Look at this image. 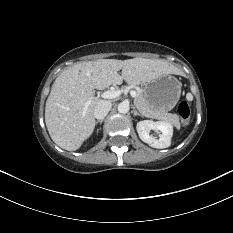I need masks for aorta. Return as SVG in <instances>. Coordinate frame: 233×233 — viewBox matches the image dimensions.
Masks as SVG:
<instances>
[{
    "mask_svg": "<svg viewBox=\"0 0 233 233\" xmlns=\"http://www.w3.org/2000/svg\"><path fill=\"white\" fill-rule=\"evenodd\" d=\"M129 111V104L127 102H121L118 104V112L126 114Z\"/></svg>",
    "mask_w": 233,
    "mask_h": 233,
    "instance_id": "obj_1",
    "label": "aorta"
}]
</instances>
